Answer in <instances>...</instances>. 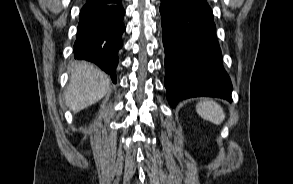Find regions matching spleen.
<instances>
[{"label": "spleen", "instance_id": "obj_1", "mask_svg": "<svg viewBox=\"0 0 293 184\" xmlns=\"http://www.w3.org/2000/svg\"><path fill=\"white\" fill-rule=\"evenodd\" d=\"M197 113L205 120L220 125L225 119L223 108L214 101L203 100L196 105Z\"/></svg>", "mask_w": 293, "mask_h": 184}]
</instances>
